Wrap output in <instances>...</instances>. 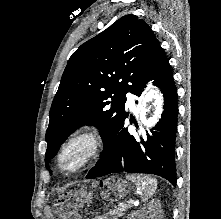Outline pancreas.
I'll return each instance as SVG.
<instances>
[{
	"instance_id": "cf45deb5",
	"label": "pancreas",
	"mask_w": 221,
	"mask_h": 219,
	"mask_svg": "<svg viewBox=\"0 0 221 219\" xmlns=\"http://www.w3.org/2000/svg\"><path fill=\"white\" fill-rule=\"evenodd\" d=\"M128 209L127 206H118L114 209L110 210L106 215L105 219H118L119 217L123 216L124 212Z\"/></svg>"
}]
</instances>
